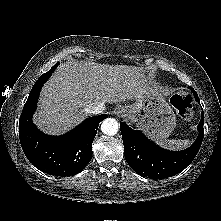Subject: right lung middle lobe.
Masks as SVG:
<instances>
[{"mask_svg": "<svg viewBox=\"0 0 221 221\" xmlns=\"http://www.w3.org/2000/svg\"><path fill=\"white\" fill-rule=\"evenodd\" d=\"M58 64L59 63L55 64L48 72L41 75L40 78L36 82H39V81L43 80L46 77L49 78L50 75L53 73V71L57 68Z\"/></svg>", "mask_w": 221, "mask_h": 221, "instance_id": "right-lung-middle-lobe-1", "label": "right lung middle lobe"}]
</instances>
